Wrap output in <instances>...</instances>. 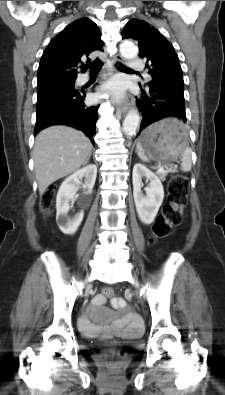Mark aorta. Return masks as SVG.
Returning a JSON list of instances; mask_svg holds the SVG:
<instances>
[{
    "label": "aorta",
    "instance_id": "obj_1",
    "mask_svg": "<svg viewBox=\"0 0 225 395\" xmlns=\"http://www.w3.org/2000/svg\"><path fill=\"white\" fill-rule=\"evenodd\" d=\"M120 53L126 59H133L138 54L137 47L130 41H123L120 44ZM140 117L137 111L131 110L123 122V130L126 135H132L139 126Z\"/></svg>",
    "mask_w": 225,
    "mask_h": 395
}]
</instances>
